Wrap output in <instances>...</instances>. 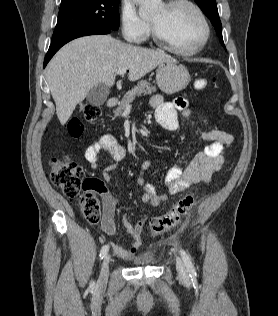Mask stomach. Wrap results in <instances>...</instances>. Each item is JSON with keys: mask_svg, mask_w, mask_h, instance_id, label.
Wrapping results in <instances>:
<instances>
[{"mask_svg": "<svg viewBox=\"0 0 278 316\" xmlns=\"http://www.w3.org/2000/svg\"><path fill=\"white\" fill-rule=\"evenodd\" d=\"M156 82L161 91L173 94L182 91L190 82V74L185 66L175 59L168 60L158 66Z\"/></svg>", "mask_w": 278, "mask_h": 316, "instance_id": "obj_1", "label": "stomach"}]
</instances>
